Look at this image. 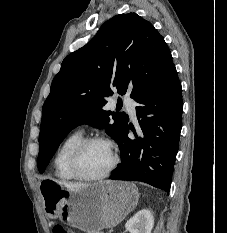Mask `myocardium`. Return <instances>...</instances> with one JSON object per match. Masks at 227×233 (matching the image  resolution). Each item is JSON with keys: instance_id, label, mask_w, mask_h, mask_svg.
Segmentation results:
<instances>
[{"instance_id": "1", "label": "myocardium", "mask_w": 227, "mask_h": 233, "mask_svg": "<svg viewBox=\"0 0 227 233\" xmlns=\"http://www.w3.org/2000/svg\"><path fill=\"white\" fill-rule=\"evenodd\" d=\"M93 143L106 144L111 150L112 159H111L110 165L103 173L98 174V175H86V174H83L79 169V166H78L79 158L82 152L85 150V148ZM118 161H119V157H118L117 149L114 146V144L106 138L99 137V136H93V137L83 138L72 150L71 155L69 157V169L72 175L76 179H79L82 181H99V180H102L108 177L112 173V171L117 166Z\"/></svg>"}]
</instances>
